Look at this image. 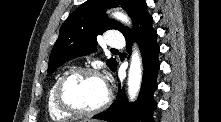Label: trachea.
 <instances>
[{
    "label": "trachea",
    "instance_id": "3493384b",
    "mask_svg": "<svg viewBox=\"0 0 221 122\" xmlns=\"http://www.w3.org/2000/svg\"><path fill=\"white\" fill-rule=\"evenodd\" d=\"M112 51H117L116 49H112Z\"/></svg>",
    "mask_w": 221,
    "mask_h": 122
}]
</instances>
